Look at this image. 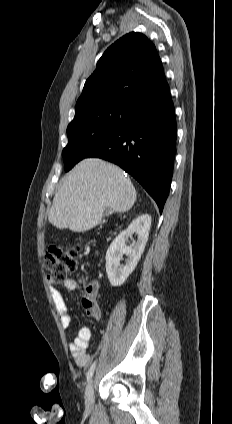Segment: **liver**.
Here are the masks:
<instances>
[{
  "label": "liver",
  "mask_w": 232,
  "mask_h": 424,
  "mask_svg": "<svg viewBox=\"0 0 232 424\" xmlns=\"http://www.w3.org/2000/svg\"><path fill=\"white\" fill-rule=\"evenodd\" d=\"M136 190L118 166L99 158L80 161L63 179L48 220L58 229L84 232L97 226L105 209L129 211Z\"/></svg>",
  "instance_id": "obj_1"
}]
</instances>
